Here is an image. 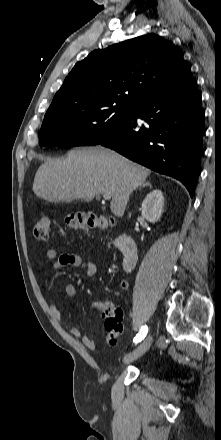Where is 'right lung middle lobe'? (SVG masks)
<instances>
[{
  "instance_id": "right-lung-middle-lobe-1",
  "label": "right lung middle lobe",
  "mask_w": 221,
  "mask_h": 440,
  "mask_svg": "<svg viewBox=\"0 0 221 440\" xmlns=\"http://www.w3.org/2000/svg\"><path fill=\"white\" fill-rule=\"evenodd\" d=\"M133 108L106 103L47 111L39 132V144L48 147L101 144L128 120Z\"/></svg>"
}]
</instances>
